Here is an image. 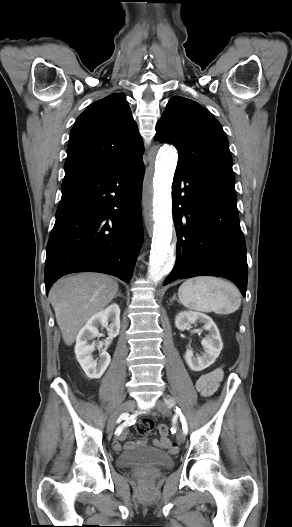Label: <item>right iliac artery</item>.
I'll return each mask as SVG.
<instances>
[{"label":"right iliac artery","mask_w":292,"mask_h":527,"mask_svg":"<svg viewBox=\"0 0 292 527\" xmlns=\"http://www.w3.org/2000/svg\"><path fill=\"white\" fill-rule=\"evenodd\" d=\"M138 419V416L136 413H131V417L128 421L122 422L120 425L116 426L115 434L119 435L122 430L131 429L136 425V421Z\"/></svg>","instance_id":"right-iliac-artery-1"}]
</instances>
